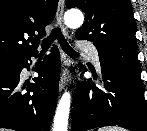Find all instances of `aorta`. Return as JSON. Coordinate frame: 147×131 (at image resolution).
Instances as JSON below:
<instances>
[{"mask_svg": "<svg viewBox=\"0 0 147 131\" xmlns=\"http://www.w3.org/2000/svg\"><path fill=\"white\" fill-rule=\"evenodd\" d=\"M65 23L68 27L77 28L84 22V16L81 11L77 9L68 10L64 15ZM71 96L69 92H65L56 108L54 116L53 131H67L68 119L70 112Z\"/></svg>", "mask_w": 147, "mask_h": 131, "instance_id": "1", "label": "aorta"}]
</instances>
